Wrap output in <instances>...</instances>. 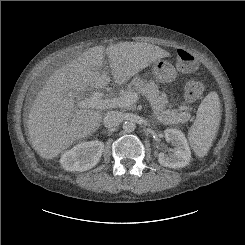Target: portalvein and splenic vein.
<instances>
[{"mask_svg":"<svg viewBox=\"0 0 245 245\" xmlns=\"http://www.w3.org/2000/svg\"><path fill=\"white\" fill-rule=\"evenodd\" d=\"M69 96L74 97L73 93L70 92ZM101 93H94L91 97L85 98L84 100H78L77 105L81 108H92V109H109V108H128L132 104L136 103L139 99L137 92H131L124 94L120 97L115 98H102Z\"/></svg>","mask_w":245,"mask_h":245,"instance_id":"portal-vein-and-splenic-vein-1","label":"portal vein and splenic vein"}]
</instances>
